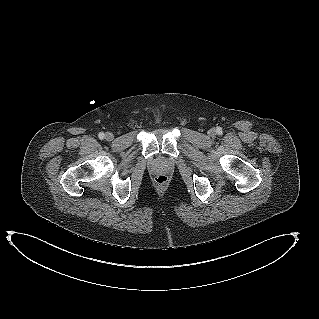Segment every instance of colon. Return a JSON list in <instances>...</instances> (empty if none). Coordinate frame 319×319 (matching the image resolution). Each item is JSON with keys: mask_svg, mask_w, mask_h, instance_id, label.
Masks as SVG:
<instances>
[{"mask_svg": "<svg viewBox=\"0 0 319 319\" xmlns=\"http://www.w3.org/2000/svg\"><path fill=\"white\" fill-rule=\"evenodd\" d=\"M168 177L165 174H159L155 177V183L159 186H163L167 183Z\"/></svg>", "mask_w": 319, "mask_h": 319, "instance_id": "colon-1", "label": "colon"}]
</instances>
